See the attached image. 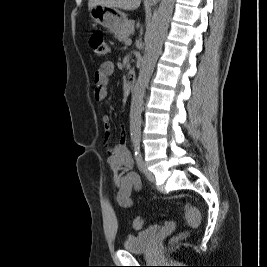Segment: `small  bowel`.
I'll return each instance as SVG.
<instances>
[{"label":"small bowel","instance_id":"1","mask_svg":"<svg viewBox=\"0 0 267 267\" xmlns=\"http://www.w3.org/2000/svg\"><path fill=\"white\" fill-rule=\"evenodd\" d=\"M114 72L112 62H103L94 75L93 97L101 102L107 96V85L110 76ZM102 124L105 128V138H110L111 119L107 114L102 115ZM108 164L113 171V180L118 188L117 201L120 206L128 208L132 205L131 194L133 190H140L141 178L132 170L133 159L126 147V135L124 125H121L120 139L118 143L108 149Z\"/></svg>","mask_w":267,"mask_h":267}]
</instances>
